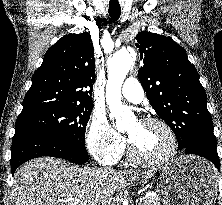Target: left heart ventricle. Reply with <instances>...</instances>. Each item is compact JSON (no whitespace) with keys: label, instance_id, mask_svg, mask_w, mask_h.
I'll list each match as a JSON object with an SVG mask.
<instances>
[{"label":"left heart ventricle","instance_id":"obj_1","mask_svg":"<svg viewBox=\"0 0 222 205\" xmlns=\"http://www.w3.org/2000/svg\"><path fill=\"white\" fill-rule=\"evenodd\" d=\"M127 133L137 153L144 158L160 157L170 145L167 133L156 124L132 121Z\"/></svg>","mask_w":222,"mask_h":205}]
</instances>
